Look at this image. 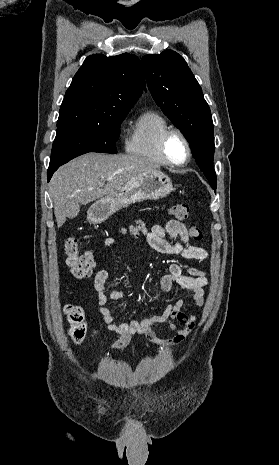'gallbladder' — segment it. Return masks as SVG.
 Masks as SVG:
<instances>
[{"mask_svg": "<svg viewBox=\"0 0 279 465\" xmlns=\"http://www.w3.org/2000/svg\"><path fill=\"white\" fill-rule=\"evenodd\" d=\"M65 209L69 219L75 218L79 212V206L75 202L67 203Z\"/></svg>", "mask_w": 279, "mask_h": 465, "instance_id": "bac80fb5", "label": "gallbladder"}]
</instances>
